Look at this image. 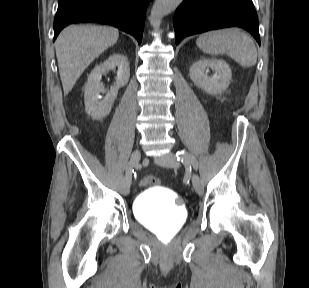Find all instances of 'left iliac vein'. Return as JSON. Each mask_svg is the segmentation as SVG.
<instances>
[{
  "mask_svg": "<svg viewBox=\"0 0 309 288\" xmlns=\"http://www.w3.org/2000/svg\"><path fill=\"white\" fill-rule=\"evenodd\" d=\"M155 162L159 165L175 169L180 166V162L177 160V157L171 152H168L165 155L156 158ZM190 176L194 190L197 194L201 195L204 190L202 180L195 173H190Z\"/></svg>",
  "mask_w": 309,
  "mask_h": 288,
  "instance_id": "obj_1",
  "label": "left iliac vein"
}]
</instances>
